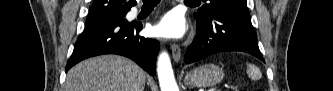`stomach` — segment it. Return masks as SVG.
Returning a JSON list of instances; mask_svg holds the SVG:
<instances>
[{"label": "stomach", "instance_id": "1", "mask_svg": "<svg viewBox=\"0 0 333 91\" xmlns=\"http://www.w3.org/2000/svg\"><path fill=\"white\" fill-rule=\"evenodd\" d=\"M223 77L224 72L220 67L214 64H204L189 72L186 75L184 82L189 86L204 88L218 84Z\"/></svg>", "mask_w": 333, "mask_h": 91}]
</instances>
